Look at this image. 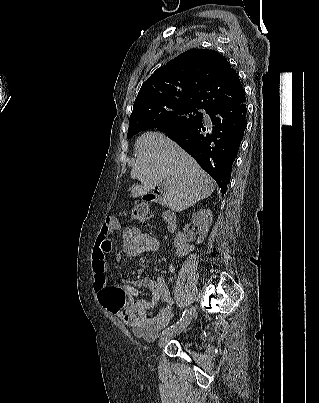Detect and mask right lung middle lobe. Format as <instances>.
I'll return each mask as SVG.
<instances>
[{"label":"right lung middle lobe","instance_id":"1","mask_svg":"<svg viewBox=\"0 0 319 403\" xmlns=\"http://www.w3.org/2000/svg\"><path fill=\"white\" fill-rule=\"evenodd\" d=\"M197 109L202 108L187 104H159L147 107L130 118L127 138L147 129L157 128L162 131L195 124L203 117Z\"/></svg>","mask_w":319,"mask_h":403}]
</instances>
